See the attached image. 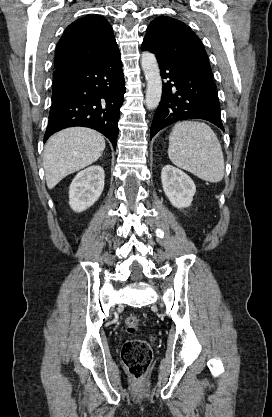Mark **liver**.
<instances>
[{
	"mask_svg": "<svg viewBox=\"0 0 272 417\" xmlns=\"http://www.w3.org/2000/svg\"><path fill=\"white\" fill-rule=\"evenodd\" d=\"M104 149L103 136L89 128H68L54 134L43 154L47 187L52 189L69 174L91 165Z\"/></svg>",
	"mask_w": 272,
	"mask_h": 417,
	"instance_id": "6515ba94",
	"label": "liver"
}]
</instances>
